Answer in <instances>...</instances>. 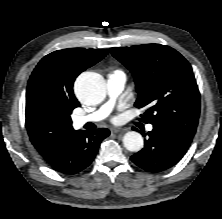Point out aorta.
Segmentation results:
<instances>
[{
	"mask_svg": "<svg viewBox=\"0 0 222 219\" xmlns=\"http://www.w3.org/2000/svg\"><path fill=\"white\" fill-rule=\"evenodd\" d=\"M75 91L86 104H98L105 98V82L101 75L95 72H84L76 80ZM124 147L137 152L143 147V138L136 131L127 132L123 137Z\"/></svg>",
	"mask_w": 222,
	"mask_h": 219,
	"instance_id": "762f6f07",
	"label": "aorta"
}]
</instances>
